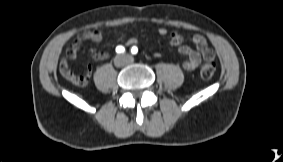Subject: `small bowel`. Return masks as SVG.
Returning <instances> with one entry per match:
<instances>
[{"label":"small bowel","instance_id":"c3829d8e","mask_svg":"<svg viewBox=\"0 0 283 162\" xmlns=\"http://www.w3.org/2000/svg\"><path fill=\"white\" fill-rule=\"evenodd\" d=\"M158 33L161 36L168 38V42L171 46L178 49L179 53L184 55L186 59L182 63V67L186 71H194L200 65L202 59L214 58L213 51L208 47L207 41L201 35H193L189 38V42L192 43L195 48L184 43V37L178 32H168L164 27L158 29ZM103 31L101 29H95L92 31H82L77 35V38L72 42L67 50L66 56L60 62V69H69L68 60L74 59L83 42L90 40L93 42H100L103 39ZM127 45H134L138 43L135 38L127 40ZM155 57H160L161 54L156 52ZM91 56L96 60H104L109 57L108 52H102L97 50L91 51Z\"/></svg>","mask_w":283,"mask_h":162}]
</instances>
